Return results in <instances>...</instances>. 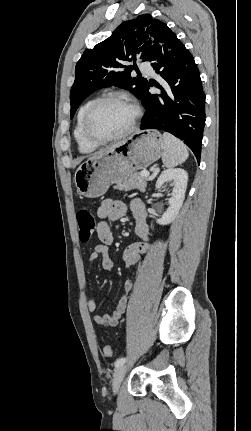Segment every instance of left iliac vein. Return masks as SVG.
Listing matches in <instances>:
<instances>
[{"label":"left iliac vein","instance_id":"1","mask_svg":"<svg viewBox=\"0 0 251 431\" xmlns=\"http://www.w3.org/2000/svg\"><path fill=\"white\" fill-rule=\"evenodd\" d=\"M126 369V365H120L115 370L112 381V389L114 393H118L120 385L125 377Z\"/></svg>","mask_w":251,"mask_h":431}]
</instances>
